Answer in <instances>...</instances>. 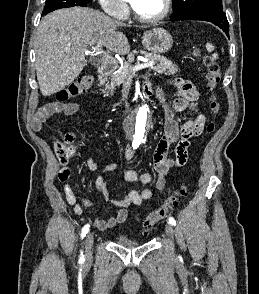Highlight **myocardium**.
<instances>
[{
  "instance_id": "f54148a6",
  "label": "myocardium",
  "mask_w": 259,
  "mask_h": 294,
  "mask_svg": "<svg viewBox=\"0 0 259 294\" xmlns=\"http://www.w3.org/2000/svg\"><path fill=\"white\" fill-rule=\"evenodd\" d=\"M164 2V8L162 10V12L156 16L153 17H145L140 15L136 9L134 8V6H132V13L135 17V19L141 23H146V24H151V23H157L160 22L162 20H164L171 12L172 9V0H163Z\"/></svg>"
}]
</instances>
